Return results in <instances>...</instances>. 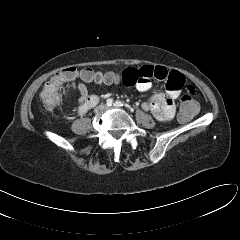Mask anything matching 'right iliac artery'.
Returning <instances> with one entry per match:
<instances>
[{
	"label": "right iliac artery",
	"instance_id": "82829eb1",
	"mask_svg": "<svg viewBox=\"0 0 240 240\" xmlns=\"http://www.w3.org/2000/svg\"><path fill=\"white\" fill-rule=\"evenodd\" d=\"M113 103H114L113 100L110 99V98L107 99V101H106V104H107L108 106H111Z\"/></svg>",
	"mask_w": 240,
	"mask_h": 240
}]
</instances>
